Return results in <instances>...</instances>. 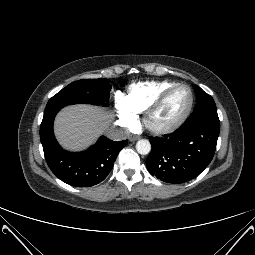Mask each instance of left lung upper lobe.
Wrapping results in <instances>:
<instances>
[{
  "mask_svg": "<svg viewBox=\"0 0 255 255\" xmlns=\"http://www.w3.org/2000/svg\"><path fill=\"white\" fill-rule=\"evenodd\" d=\"M193 87L196 92L197 104L191 116L182 126L220 124L213 98L199 86L193 85Z\"/></svg>",
  "mask_w": 255,
  "mask_h": 255,
  "instance_id": "left-lung-upper-lobe-1",
  "label": "left lung upper lobe"
}]
</instances>
